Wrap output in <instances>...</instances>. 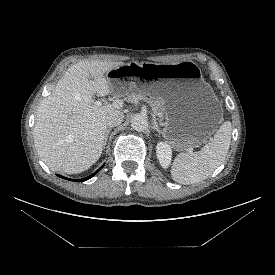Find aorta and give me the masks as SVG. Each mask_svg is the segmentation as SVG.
Returning a JSON list of instances; mask_svg holds the SVG:
<instances>
[{"label":"aorta","mask_w":275,"mask_h":275,"mask_svg":"<svg viewBox=\"0 0 275 275\" xmlns=\"http://www.w3.org/2000/svg\"><path fill=\"white\" fill-rule=\"evenodd\" d=\"M131 126L134 130L142 132L148 128V119L144 114H134L131 119Z\"/></svg>","instance_id":"obj_1"}]
</instances>
